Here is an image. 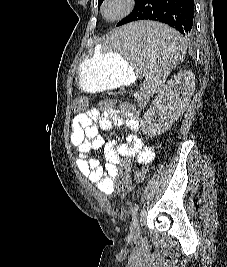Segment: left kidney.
Here are the masks:
<instances>
[{
	"label": "left kidney",
	"instance_id": "1",
	"mask_svg": "<svg viewBox=\"0 0 227 267\" xmlns=\"http://www.w3.org/2000/svg\"><path fill=\"white\" fill-rule=\"evenodd\" d=\"M195 90V75L180 71L159 92L141 120L143 132L151 137L168 130L187 108ZM166 99L169 101L166 104Z\"/></svg>",
	"mask_w": 227,
	"mask_h": 267
}]
</instances>
